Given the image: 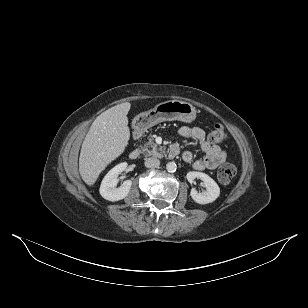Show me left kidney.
<instances>
[{"instance_id":"left-kidney-1","label":"left kidney","mask_w":308,"mask_h":308,"mask_svg":"<svg viewBox=\"0 0 308 308\" xmlns=\"http://www.w3.org/2000/svg\"><path fill=\"white\" fill-rule=\"evenodd\" d=\"M187 180L192 183L195 178H199L204 182L206 191L200 193L195 188L191 189L190 195L192 199L198 204H208L215 201L220 195V188L217 183L207 174L202 172L191 171L188 172Z\"/></svg>"}]
</instances>
